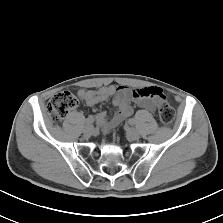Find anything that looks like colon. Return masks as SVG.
Returning a JSON list of instances; mask_svg holds the SVG:
<instances>
[{
  "instance_id": "obj_1",
  "label": "colon",
  "mask_w": 223,
  "mask_h": 223,
  "mask_svg": "<svg viewBox=\"0 0 223 223\" xmlns=\"http://www.w3.org/2000/svg\"><path fill=\"white\" fill-rule=\"evenodd\" d=\"M153 94L160 95L156 89ZM79 102L77 98L68 91H61L56 93L47 104V112L50 117L59 122L65 118L68 112L78 107ZM175 111L166 100H161L158 105V119L166 126L171 125L175 120Z\"/></svg>"
}]
</instances>
